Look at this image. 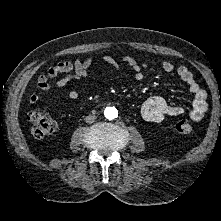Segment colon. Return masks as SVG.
Returning <instances> with one entry per match:
<instances>
[{
  "label": "colon",
  "instance_id": "obj_1",
  "mask_svg": "<svg viewBox=\"0 0 221 221\" xmlns=\"http://www.w3.org/2000/svg\"><path fill=\"white\" fill-rule=\"evenodd\" d=\"M54 75L55 73L50 70L42 76V79L48 81V79ZM29 121L31 123L33 135L38 138L50 136L54 134L57 129L55 120L42 111L31 112L29 114ZM175 129L180 134L189 135L193 131V125L189 119L183 118L175 123Z\"/></svg>",
  "mask_w": 221,
  "mask_h": 221
}]
</instances>
